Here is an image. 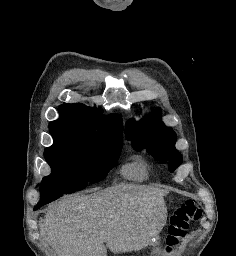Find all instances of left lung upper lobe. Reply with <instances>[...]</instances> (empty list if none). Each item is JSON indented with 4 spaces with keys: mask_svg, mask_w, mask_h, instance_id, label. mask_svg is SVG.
<instances>
[{
    "mask_svg": "<svg viewBox=\"0 0 236 256\" xmlns=\"http://www.w3.org/2000/svg\"><path fill=\"white\" fill-rule=\"evenodd\" d=\"M161 110L155 109L146 120H130L126 125V138L135 150L146 149L161 163L168 162V168L174 171L182 162L181 154L175 149L176 134L166 127L160 119Z\"/></svg>",
    "mask_w": 236,
    "mask_h": 256,
    "instance_id": "5c2ea615",
    "label": "left lung upper lobe"
}]
</instances>
